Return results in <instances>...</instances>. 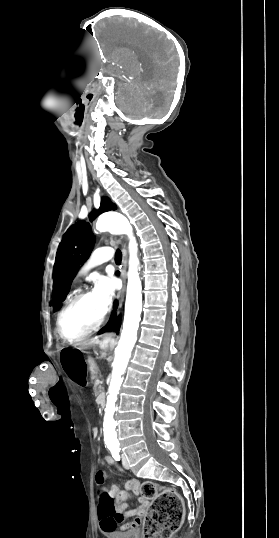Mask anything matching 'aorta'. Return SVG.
Instances as JSON below:
<instances>
[{"mask_svg":"<svg viewBox=\"0 0 279 538\" xmlns=\"http://www.w3.org/2000/svg\"><path fill=\"white\" fill-rule=\"evenodd\" d=\"M96 229L99 232L110 231L113 234H126L129 238L130 255L124 322L121 337L115 350L116 355L113 362V371L108 389L103 423L104 441L107 447L112 450L119 448L113 416L115 402L122 384V375L125 372L132 349L137 340V330L142 311V284L138 273L139 259L137 257V243L128 219L119 213H107L98 218Z\"/></svg>","mask_w":279,"mask_h":538,"instance_id":"aorta-1","label":"aorta"}]
</instances>
